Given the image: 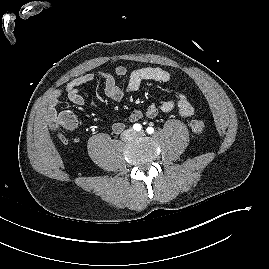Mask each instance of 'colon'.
Segmentation results:
<instances>
[{
    "instance_id": "5ec220e1",
    "label": "colon",
    "mask_w": 269,
    "mask_h": 269,
    "mask_svg": "<svg viewBox=\"0 0 269 269\" xmlns=\"http://www.w3.org/2000/svg\"><path fill=\"white\" fill-rule=\"evenodd\" d=\"M75 125V117L68 111L62 113L58 118L51 122L53 128L61 127L65 129H73ZM190 128L195 135H201L205 130V121L203 119H193L190 122Z\"/></svg>"
}]
</instances>
